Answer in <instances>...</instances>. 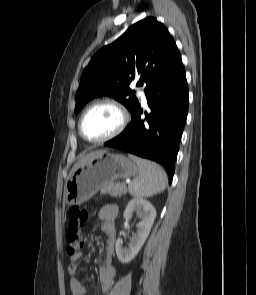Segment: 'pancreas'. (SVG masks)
Wrapping results in <instances>:
<instances>
[{"mask_svg": "<svg viewBox=\"0 0 256 295\" xmlns=\"http://www.w3.org/2000/svg\"><path fill=\"white\" fill-rule=\"evenodd\" d=\"M110 194L111 196L120 197L127 193L125 184L117 182L105 185L101 188V194Z\"/></svg>", "mask_w": 256, "mask_h": 295, "instance_id": "pancreas-1", "label": "pancreas"}]
</instances>
